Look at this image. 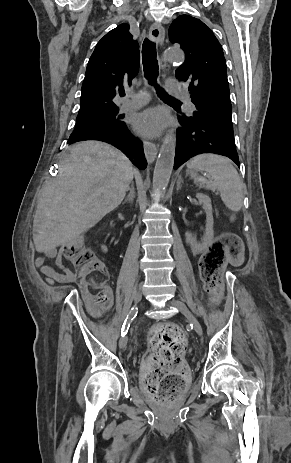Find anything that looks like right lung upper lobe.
<instances>
[{
	"mask_svg": "<svg viewBox=\"0 0 291 463\" xmlns=\"http://www.w3.org/2000/svg\"><path fill=\"white\" fill-rule=\"evenodd\" d=\"M128 30L127 24H120L96 45L86 68L77 118L118 109L112 99L124 93V83L130 84L139 70V45Z\"/></svg>",
	"mask_w": 291,
	"mask_h": 463,
	"instance_id": "obj_1",
	"label": "right lung upper lobe"
}]
</instances>
